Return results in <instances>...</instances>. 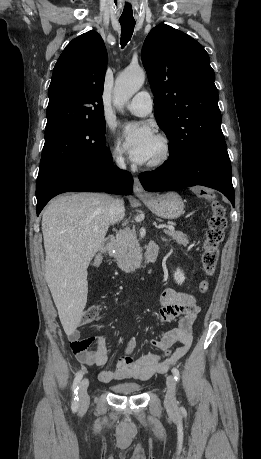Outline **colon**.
<instances>
[{
  "label": "colon",
  "mask_w": 261,
  "mask_h": 459,
  "mask_svg": "<svg viewBox=\"0 0 261 459\" xmlns=\"http://www.w3.org/2000/svg\"><path fill=\"white\" fill-rule=\"evenodd\" d=\"M198 196L211 204V216L208 221V229L206 231L203 253H202V266L204 273L207 277L214 275L219 259V247L224 239L225 229L227 226V219L225 216L224 208L215 200V195L208 190H199ZM210 283L207 279L199 284V291L206 293L209 290ZM99 309L97 306H90L83 314V323L92 322L98 315ZM170 351L166 352L169 355Z\"/></svg>",
  "instance_id": "obj_1"
}]
</instances>
